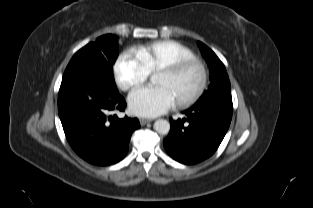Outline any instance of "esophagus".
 Segmentation results:
<instances>
[{
  "label": "esophagus",
  "mask_w": 313,
  "mask_h": 208,
  "mask_svg": "<svg viewBox=\"0 0 313 208\" xmlns=\"http://www.w3.org/2000/svg\"><path fill=\"white\" fill-rule=\"evenodd\" d=\"M152 120H150V119H146V118H141L140 119V124H141V126H144V125H146L147 123H149V122H151Z\"/></svg>",
  "instance_id": "1"
}]
</instances>
